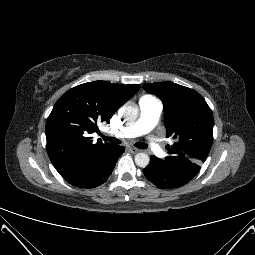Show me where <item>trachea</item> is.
I'll return each mask as SVG.
<instances>
[{"mask_svg":"<svg viewBox=\"0 0 255 255\" xmlns=\"http://www.w3.org/2000/svg\"><path fill=\"white\" fill-rule=\"evenodd\" d=\"M104 140L106 141H109L111 143H116V144H120L121 141L115 137H105L103 136ZM135 146L140 148V149H146L147 148V145L145 143H142V142H137L135 143Z\"/></svg>","mask_w":255,"mask_h":255,"instance_id":"1","label":"trachea"}]
</instances>
